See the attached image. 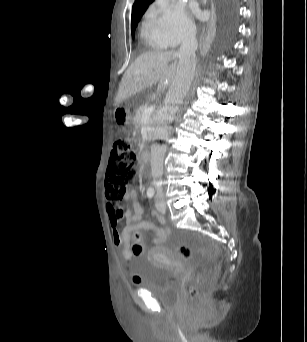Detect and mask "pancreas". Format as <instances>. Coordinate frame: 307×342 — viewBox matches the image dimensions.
<instances>
[{"instance_id": "cf45deb5", "label": "pancreas", "mask_w": 307, "mask_h": 342, "mask_svg": "<svg viewBox=\"0 0 307 342\" xmlns=\"http://www.w3.org/2000/svg\"><path fill=\"white\" fill-rule=\"evenodd\" d=\"M143 108H146V106H142V108H140V110H138V112L135 116L134 124H136L137 128H140V126H144V124H146V122H143V112H142ZM155 118H156V116H151V118L147 124L148 128H152L153 122H155ZM148 136H149V138H152L151 132H148Z\"/></svg>"}]
</instances>
